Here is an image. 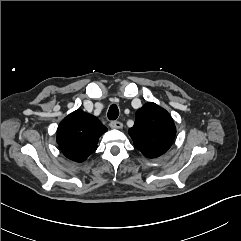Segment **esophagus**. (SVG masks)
Segmentation results:
<instances>
[{
  "instance_id": "esophagus-1",
  "label": "esophagus",
  "mask_w": 241,
  "mask_h": 241,
  "mask_svg": "<svg viewBox=\"0 0 241 241\" xmlns=\"http://www.w3.org/2000/svg\"><path fill=\"white\" fill-rule=\"evenodd\" d=\"M110 127L115 129H121L123 127V124L120 121H111Z\"/></svg>"
}]
</instances>
